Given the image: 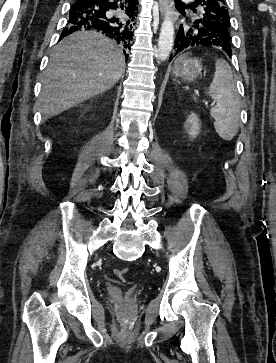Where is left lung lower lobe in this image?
Segmentation results:
<instances>
[{
    "instance_id": "0a47b994",
    "label": "left lung lower lobe",
    "mask_w": 276,
    "mask_h": 363,
    "mask_svg": "<svg viewBox=\"0 0 276 363\" xmlns=\"http://www.w3.org/2000/svg\"><path fill=\"white\" fill-rule=\"evenodd\" d=\"M209 28L210 27L206 22H204L202 26H197L194 23H192L188 30H184L183 27L180 26L175 39L174 50L173 53L170 55L169 62L179 52L181 51L184 52L191 47L206 46V45L217 46L218 44L231 58L232 55L231 47L221 39L216 40L215 38L216 34H214V32H211Z\"/></svg>"
}]
</instances>
